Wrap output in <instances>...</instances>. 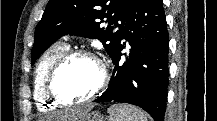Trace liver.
Instances as JSON below:
<instances>
[{"mask_svg":"<svg viewBox=\"0 0 217 121\" xmlns=\"http://www.w3.org/2000/svg\"><path fill=\"white\" fill-rule=\"evenodd\" d=\"M58 121H67V120H70V113L66 112L64 114H60L58 117H57Z\"/></svg>","mask_w":217,"mask_h":121,"instance_id":"obj_1","label":"liver"}]
</instances>
